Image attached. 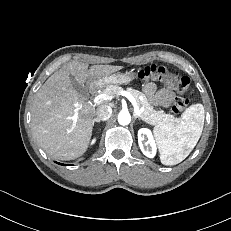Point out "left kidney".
Segmentation results:
<instances>
[{
  "label": "left kidney",
  "instance_id": "5707ae66",
  "mask_svg": "<svg viewBox=\"0 0 231 231\" xmlns=\"http://www.w3.org/2000/svg\"><path fill=\"white\" fill-rule=\"evenodd\" d=\"M138 143L142 153L153 158L156 155L157 147L152 132L147 128H141L138 131Z\"/></svg>",
  "mask_w": 231,
  "mask_h": 231
}]
</instances>
